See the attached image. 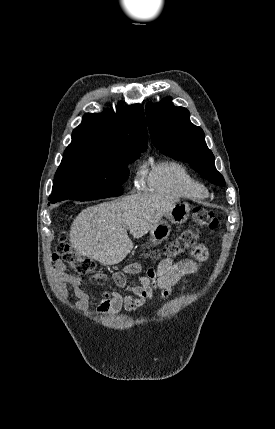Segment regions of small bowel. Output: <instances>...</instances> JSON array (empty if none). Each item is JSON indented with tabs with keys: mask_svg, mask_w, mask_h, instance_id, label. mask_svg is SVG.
<instances>
[{
	"mask_svg": "<svg viewBox=\"0 0 275 429\" xmlns=\"http://www.w3.org/2000/svg\"><path fill=\"white\" fill-rule=\"evenodd\" d=\"M207 258V248L204 245H198L187 259L177 263L170 259H164L158 265L157 270L151 267L146 268L145 274L139 277V285H127L125 274H139L143 269L142 265L139 263L128 264L123 272L111 276V279L127 294L122 295L109 289H103L97 301L98 311L102 314H115L122 309L137 312L152 299L155 291H160L162 297L166 298L175 285L186 281V275L197 272L201 263ZM56 276L60 293L64 295L66 285H71L77 297L76 306L78 308L84 307L89 296L83 288V278L69 274L66 271V266L61 262L56 264Z\"/></svg>",
	"mask_w": 275,
	"mask_h": 429,
	"instance_id": "obj_1",
	"label": "small bowel"
}]
</instances>
